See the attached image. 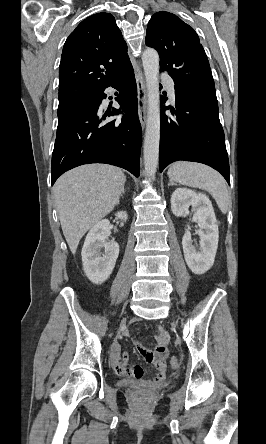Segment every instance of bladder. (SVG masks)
Returning <instances> with one entry per match:
<instances>
[{
    "mask_svg": "<svg viewBox=\"0 0 266 444\" xmlns=\"http://www.w3.org/2000/svg\"><path fill=\"white\" fill-rule=\"evenodd\" d=\"M124 385L127 389L134 390V391L147 390V386H145L144 384H142L136 380H132V379L124 380ZM164 388H167V385H158V386H155L153 388H148V389H164Z\"/></svg>",
    "mask_w": 266,
    "mask_h": 444,
    "instance_id": "bladder-1",
    "label": "bladder"
}]
</instances>
